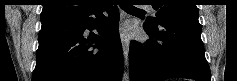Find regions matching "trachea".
Returning a JSON list of instances; mask_svg holds the SVG:
<instances>
[{"label":"trachea","instance_id":"1","mask_svg":"<svg viewBox=\"0 0 237 81\" xmlns=\"http://www.w3.org/2000/svg\"><path fill=\"white\" fill-rule=\"evenodd\" d=\"M120 6L123 9H128V10H133V11H142L141 9H138V8L134 7L132 4H128L126 2H121Z\"/></svg>","mask_w":237,"mask_h":81}]
</instances>
